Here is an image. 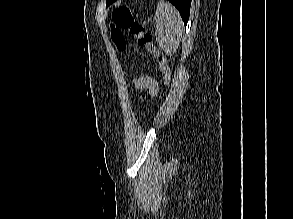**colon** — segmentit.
<instances>
[{"instance_id":"1","label":"colon","mask_w":293,"mask_h":219,"mask_svg":"<svg viewBox=\"0 0 293 219\" xmlns=\"http://www.w3.org/2000/svg\"><path fill=\"white\" fill-rule=\"evenodd\" d=\"M124 32H128L135 37L138 44L154 57L163 74L164 83L168 86L171 80V71L166 57L154 45L152 35L143 21L136 17L129 7L121 5L112 11L111 25L112 41L120 51L127 47Z\"/></svg>"}]
</instances>
